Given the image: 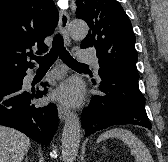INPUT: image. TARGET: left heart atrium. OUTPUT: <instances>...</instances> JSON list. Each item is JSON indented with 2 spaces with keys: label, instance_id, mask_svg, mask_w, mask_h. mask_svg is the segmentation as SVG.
Returning <instances> with one entry per match:
<instances>
[{
  "label": "left heart atrium",
  "instance_id": "left-heart-atrium-1",
  "mask_svg": "<svg viewBox=\"0 0 168 162\" xmlns=\"http://www.w3.org/2000/svg\"><path fill=\"white\" fill-rule=\"evenodd\" d=\"M54 96L64 102L76 103L81 98L80 86L75 81H69L61 86Z\"/></svg>",
  "mask_w": 168,
  "mask_h": 162
}]
</instances>
